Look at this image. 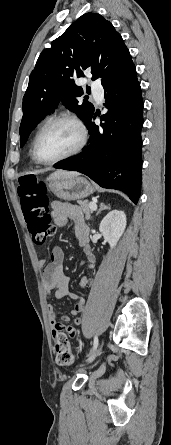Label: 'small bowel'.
<instances>
[{"instance_id":"c3829d8e","label":"small bowel","mask_w":171,"mask_h":445,"mask_svg":"<svg viewBox=\"0 0 171 445\" xmlns=\"http://www.w3.org/2000/svg\"><path fill=\"white\" fill-rule=\"evenodd\" d=\"M54 223L57 226H63L70 219L75 227L76 237L85 256L84 267L94 273L95 258L89 245L88 228L83 220L80 210L66 202L54 201L51 204ZM64 251L56 245L53 247L48 259L39 261V268L42 270V287L47 298L54 296L57 299L69 297L75 300L70 313L74 316L81 313L85 307V299L73 292L69 291V278L64 272ZM93 284V279L86 276L80 281L81 288H88ZM49 323L52 329L54 339L57 334L66 330L71 337L77 335V328L81 325V319L76 318L73 325H65L69 321V317L63 315L58 321V314L52 305L47 306Z\"/></svg>"}]
</instances>
